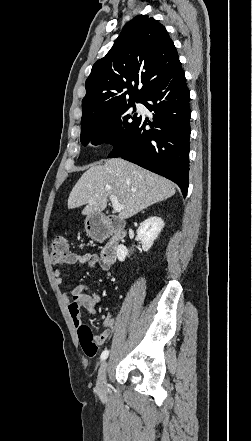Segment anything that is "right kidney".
<instances>
[{
	"instance_id": "right-kidney-1",
	"label": "right kidney",
	"mask_w": 252,
	"mask_h": 441,
	"mask_svg": "<svg viewBox=\"0 0 252 441\" xmlns=\"http://www.w3.org/2000/svg\"><path fill=\"white\" fill-rule=\"evenodd\" d=\"M163 227L164 221L158 216L150 217L141 223L137 229V238L142 244L143 251L147 252L152 247ZM127 255L128 249L123 244H120L117 247L118 260L123 262Z\"/></svg>"
}]
</instances>
